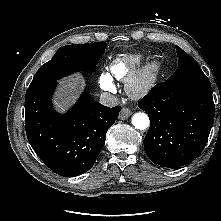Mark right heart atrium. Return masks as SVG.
<instances>
[{"instance_id": "d8ad5b80", "label": "right heart atrium", "mask_w": 221, "mask_h": 221, "mask_svg": "<svg viewBox=\"0 0 221 221\" xmlns=\"http://www.w3.org/2000/svg\"><path fill=\"white\" fill-rule=\"evenodd\" d=\"M99 85L104 91L108 93H112L116 90L113 78L108 72H102L100 74Z\"/></svg>"}]
</instances>
